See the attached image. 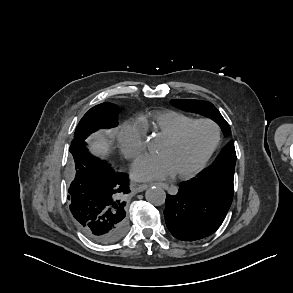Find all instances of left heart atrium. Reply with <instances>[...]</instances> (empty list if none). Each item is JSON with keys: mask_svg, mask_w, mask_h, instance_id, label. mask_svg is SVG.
<instances>
[{"mask_svg": "<svg viewBox=\"0 0 293 293\" xmlns=\"http://www.w3.org/2000/svg\"><path fill=\"white\" fill-rule=\"evenodd\" d=\"M133 176L138 180H162L175 174L169 159L159 154L139 158L132 167Z\"/></svg>", "mask_w": 293, "mask_h": 293, "instance_id": "obj_1", "label": "left heart atrium"}]
</instances>
